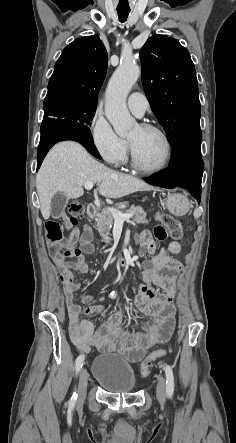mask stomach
I'll return each mask as SVG.
<instances>
[{"label":"stomach","mask_w":236,"mask_h":443,"mask_svg":"<svg viewBox=\"0 0 236 443\" xmlns=\"http://www.w3.org/2000/svg\"><path fill=\"white\" fill-rule=\"evenodd\" d=\"M166 207L172 214L180 216L188 211L189 202L184 195L175 193L166 199Z\"/></svg>","instance_id":"stomach-1"}]
</instances>
